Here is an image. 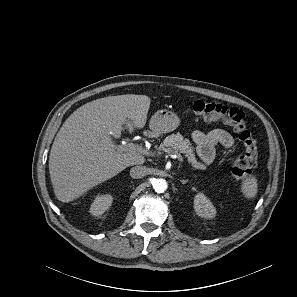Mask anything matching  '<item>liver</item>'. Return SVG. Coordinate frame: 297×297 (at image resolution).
<instances>
[{
  "label": "liver",
  "mask_w": 297,
  "mask_h": 297,
  "mask_svg": "<svg viewBox=\"0 0 297 297\" xmlns=\"http://www.w3.org/2000/svg\"><path fill=\"white\" fill-rule=\"evenodd\" d=\"M146 95L126 94L100 98L76 109L54 139L49 173L56 198L71 202L92 187L132 165L145 162L138 153L117 151L123 125L141 129L150 107Z\"/></svg>",
  "instance_id": "1"
}]
</instances>
